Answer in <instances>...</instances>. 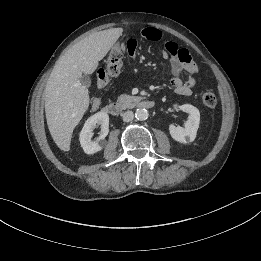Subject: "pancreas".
Masks as SVG:
<instances>
[{
	"label": "pancreas",
	"instance_id": "obj_1",
	"mask_svg": "<svg viewBox=\"0 0 261 261\" xmlns=\"http://www.w3.org/2000/svg\"><path fill=\"white\" fill-rule=\"evenodd\" d=\"M137 97L123 94L118 97V103L123 107H129L133 101H135Z\"/></svg>",
	"mask_w": 261,
	"mask_h": 261
}]
</instances>
